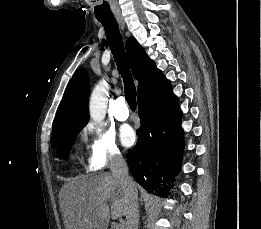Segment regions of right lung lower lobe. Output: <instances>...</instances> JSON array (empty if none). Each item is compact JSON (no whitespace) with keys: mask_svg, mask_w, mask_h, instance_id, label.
Returning <instances> with one entry per match:
<instances>
[{"mask_svg":"<svg viewBox=\"0 0 261 229\" xmlns=\"http://www.w3.org/2000/svg\"><path fill=\"white\" fill-rule=\"evenodd\" d=\"M141 127L138 142L127 160L134 179L148 192L167 196L180 170L184 141L182 112L165 78L138 96Z\"/></svg>","mask_w":261,"mask_h":229,"instance_id":"98d812e1","label":"right lung lower lobe"}]
</instances>
